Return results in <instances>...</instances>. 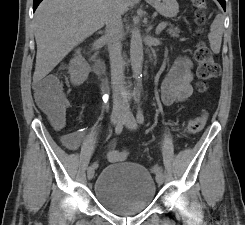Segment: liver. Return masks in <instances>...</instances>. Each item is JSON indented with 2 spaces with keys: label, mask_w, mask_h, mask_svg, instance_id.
<instances>
[{
  "label": "liver",
  "mask_w": 245,
  "mask_h": 225,
  "mask_svg": "<svg viewBox=\"0 0 245 225\" xmlns=\"http://www.w3.org/2000/svg\"><path fill=\"white\" fill-rule=\"evenodd\" d=\"M131 0H118L125 13ZM109 0H43L35 12L34 82L49 74L77 45L105 24Z\"/></svg>",
  "instance_id": "liver-1"
}]
</instances>
